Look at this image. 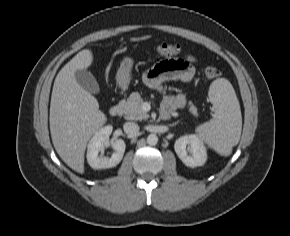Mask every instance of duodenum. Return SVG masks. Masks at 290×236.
<instances>
[{
	"label": "duodenum",
	"instance_id": "duodenum-1",
	"mask_svg": "<svg viewBox=\"0 0 290 236\" xmlns=\"http://www.w3.org/2000/svg\"><path fill=\"white\" fill-rule=\"evenodd\" d=\"M124 106L122 103H116L110 108L111 116H119L123 113ZM167 118L170 116V112L166 113Z\"/></svg>",
	"mask_w": 290,
	"mask_h": 236
}]
</instances>
